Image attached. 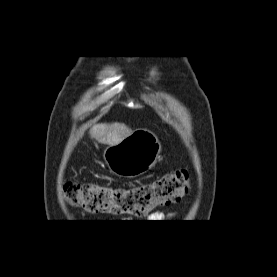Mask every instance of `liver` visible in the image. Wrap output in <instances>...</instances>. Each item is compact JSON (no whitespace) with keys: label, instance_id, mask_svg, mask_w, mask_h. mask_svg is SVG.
<instances>
[{"label":"liver","instance_id":"1","mask_svg":"<svg viewBox=\"0 0 277 277\" xmlns=\"http://www.w3.org/2000/svg\"><path fill=\"white\" fill-rule=\"evenodd\" d=\"M132 133L133 131L129 127L120 123L96 124L89 131L92 138H95L101 144H108L109 146L118 144Z\"/></svg>","mask_w":277,"mask_h":277}]
</instances>
